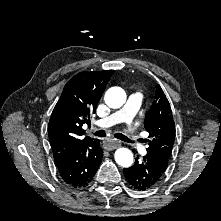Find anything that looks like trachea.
I'll return each instance as SVG.
<instances>
[{"label": "trachea", "instance_id": "obj_1", "mask_svg": "<svg viewBox=\"0 0 221 221\" xmlns=\"http://www.w3.org/2000/svg\"><path fill=\"white\" fill-rule=\"evenodd\" d=\"M93 134L95 136H98V137H105V135H106L104 130L97 131V132H95ZM115 137L120 139V140H122V141L130 142V140L127 137H125L123 134H121V133H116Z\"/></svg>", "mask_w": 221, "mask_h": 221}]
</instances>
